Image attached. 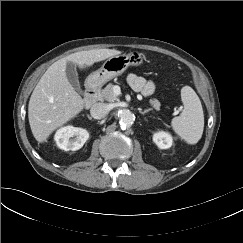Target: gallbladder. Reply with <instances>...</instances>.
Wrapping results in <instances>:
<instances>
[{"label":"gallbladder","instance_id":"1","mask_svg":"<svg viewBox=\"0 0 243 243\" xmlns=\"http://www.w3.org/2000/svg\"><path fill=\"white\" fill-rule=\"evenodd\" d=\"M65 72H66L67 79L70 82V84L73 86V88L77 90L79 93H83L78 79L75 64L72 62H67Z\"/></svg>","mask_w":243,"mask_h":243}]
</instances>
